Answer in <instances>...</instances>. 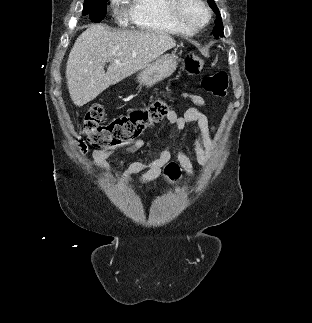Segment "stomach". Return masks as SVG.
Here are the masks:
<instances>
[{"label": "stomach", "instance_id": "stomach-1", "mask_svg": "<svg viewBox=\"0 0 312 323\" xmlns=\"http://www.w3.org/2000/svg\"><path fill=\"white\" fill-rule=\"evenodd\" d=\"M179 62V54H165L158 58L156 62L149 64L147 68L141 70L137 76L139 84L143 86H153L165 78L174 74Z\"/></svg>", "mask_w": 312, "mask_h": 323}]
</instances>
